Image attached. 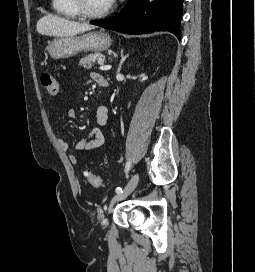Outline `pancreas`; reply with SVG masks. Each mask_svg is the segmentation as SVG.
I'll return each instance as SVG.
<instances>
[{
  "instance_id": "1",
  "label": "pancreas",
  "mask_w": 255,
  "mask_h": 272,
  "mask_svg": "<svg viewBox=\"0 0 255 272\" xmlns=\"http://www.w3.org/2000/svg\"><path fill=\"white\" fill-rule=\"evenodd\" d=\"M105 56L101 53H94L87 55L80 59L79 65L83 66L86 69H90L96 61L104 60Z\"/></svg>"
}]
</instances>
